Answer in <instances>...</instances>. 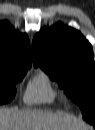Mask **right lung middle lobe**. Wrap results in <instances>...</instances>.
I'll return each instance as SVG.
<instances>
[{"instance_id":"1","label":"right lung middle lobe","mask_w":95,"mask_h":130,"mask_svg":"<svg viewBox=\"0 0 95 130\" xmlns=\"http://www.w3.org/2000/svg\"><path fill=\"white\" fill-rule=\"evenodd\" d=\"M27 69H0V104L12 101L16 94V83L21 81Z\"/></svg>"}]
</instances>
